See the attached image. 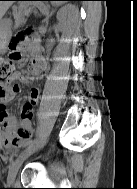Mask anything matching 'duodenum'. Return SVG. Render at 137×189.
<instances>
[{
	"label": "duodenum",
	"mask_w": 137,
	"mask_h": 189,
	"mask_svg": "<svg viewBox=\"0 0 137 189\" xmlns=\"http://www.w3.org/2000/svg\"><path fill=\"white\" fill-rule=\"evenodd\" d=\"M33 57L35 58V60H40L41 59V55H40L38 49H34L33 50Z\"/></svg>",
	"instance_id": "410a0bca"
}]
</instances>
